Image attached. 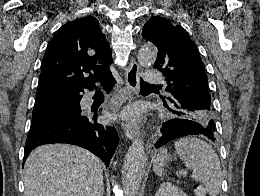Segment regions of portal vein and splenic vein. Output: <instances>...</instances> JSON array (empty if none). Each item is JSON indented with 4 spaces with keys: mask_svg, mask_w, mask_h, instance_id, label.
Returning <instances> with one entry per match:
<instances>
[{
    "mask_svg": "<svg viewBox=\"0 0 260 196\" xmlns=\"http://www.w3.org/2000/svg\"><path fill=\"white\" fill-rule=\"evenodd\" d=\"M179 174H182V176H185V174H187V170H180Z\"/></svg>",
    "mask_w": 260,
    "mask_h": 196,
    "instance_id": "18ae733b",
    "label": "portal vein and splenic vein"
}]
</instances>
